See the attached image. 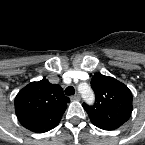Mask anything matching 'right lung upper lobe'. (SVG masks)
<instances>
[{"mask_svg":"<svg viewBox=\"0 0 145 145\" xmlns=\"http://www.w3.org/2000/svg\"><path fill=\"white\" fill-rule=\"evenodd\" d=\"M70 100L60 85L47 79L31 82L15 98L19 122L28 130L43 133L56 127Z\"/></svg>","mask_w":145,"mask_h":145,"instance_id":"right-lung-upper-lobe-1","label":"right lung upper lobe"}]
</instances>
